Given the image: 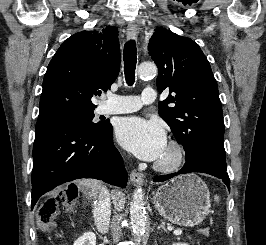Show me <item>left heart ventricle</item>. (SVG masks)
I'll list each match as a JSON object with an SVG mask.
<instances>
[{
  "mask_svg": "<svg viewBox=\"0 0 266 245\" xmlns=\"http://www.w3.org/2000/svg\"><path fill=\"white\" fill-rule=\"evenodd\" d=\"M174 157L173 150L169 149L167 146L165 150L163 151L162 155L158 159L159 161H169Z\"/></svg>",
  "mask_w": 266,
  "mask_h": 245,
  "instance_id": "left-heart-ventricle-1",
  "label": "left heart ventricle"
}]
</instances>
